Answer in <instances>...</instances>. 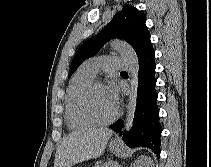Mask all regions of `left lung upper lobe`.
I'll return each mask as SVG.
<instances>
[{
	"label": "left lung upper lobe",
	"mask_w": 211,
	"mask_h": 167,
	"mask_svg": "<svg viewBox=\"0 0 211 167\" xmlns=\"http://www.w3.org/2000/svg\"><path fill=\"white\" fill-rule=\"evenodd\" d=\"M145 22L146 15L143 12L133 6L125 5L99 34L87 40L77 50L70 66L69 77L82 61L98 53L103 44L113 38L127 41L141 61L154 50Z\"/></svg>",
	"instance_id": "5c2ea615"
}]
</instances>
